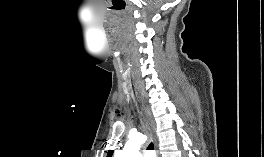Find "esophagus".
<instances>
[{"label":"esophagus","mask_w":264,"mask_h":157,"mask_svg":"<svg viewBox=\"0 0 264 157\" xmlns=\"http://www.w3.org/2000/svg\"><path fill=\"white\" fill-rule=\"evenodd\" d=\"M142 106L144 108L145 115L147 117V120H148L149 125H150L151 130H152V136H153V140H154V147H155V151L157 153V157H161L160 153H159V150H158L157 137H156V134H155V126H154V122H153L150 110H149L148 106L145 104V102H142Z\"/></svg>","instance_id":"1"}]
</instances>
